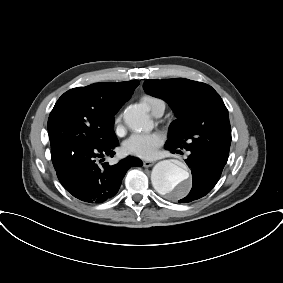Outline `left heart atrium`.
I'll return each instance as SVG.
<instances>
[{
  "mask_svg": "<svg viewBox=\"0 0 283 283\" xmlns=\"http://www.w3.org/2000/svg\"><path fill=\"white\" fill-rule=\"evenodd\" d=\"M163 142L164 138L158 132L134 134L123 143V148L130 155L149 160L157 155Z\"/></svg>",
  "mask_w": 283,
  "mask_h": 283,
  "instance_id": "left-heart-atrium-1",
  "label": "left heart atrium"
}]
</instances>
